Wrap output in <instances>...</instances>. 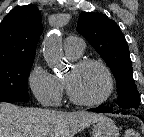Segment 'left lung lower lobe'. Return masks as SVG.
<instances>
[{
    "label": "left lung lower lobe",
    "instance_id": "obj_1",
    "mask_svg": "<svg viewBox=\"0 0 144 137\" xmlns=\"http://www.w3.org/2000/svg\"><path fill=\"white\" fill-rule=\"evenodd\" d=\"M89 111L98 112V113L112 112V108L100 106V107H98V108L89 109ZM124 114H125V113H124ZM143 122H144V119H143Z\"/></svg>",
    "mask_w": 144,
    "mask_h": 137
}]
</instances>
